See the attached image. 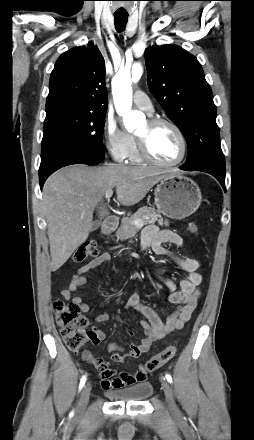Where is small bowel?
<instances>
[{
  "label": "small bowel",
  "instance_id": "small-bowel-1",
  "mask_svg": "<svg viewBox=\"0 0 254 440\" xmlns=\"http://www.w3.org/2000/svg\"><path fill=\"white\" fill-rule=\"evenodd\" d=\"M170 243L178 247L183 246V239L180 235L168 231L160 230L156 226L146 227L141 236V249H151L156 255L171 256L175 263L186 273L179 282V288L174 281L169 278L161 277L169 294L168 300L177 306L176 310L162 321L158 314L149 306L142 304L137 293H132L126 301L125 307L142 314L145 319L140 322L144 332V338L139 343H132L129 351L122 355L124 348L116 343L108 345V351L111 353V361L121 363L125 358H138L147 352L151 344L173 332L181 330L187 321L191 318L198 298L200 296V285L202 283V275L199 272L200 262L195 258H182L172 255L164 244ZM109 260L107 253L100 254L89 261L86 265L80 267L72 277L68 287L61 291L64 299L70 300L76 304L79 310L86 313L90 310V306L82 297L74 295L80 287L86 284L84 274L97 268L102 263ZM109 319L107 313H100L94 317L97 323L106 322ZM93 337L90 341L97 345L106 339V333L98 327L92 329ZM82 357L85 361L93 365L100 373L101 384L105 389L120 388L145 382L146 371L139 367L132 373L118 372L111 368L110 364L102 358H94L88 352H83Z\"/></svg>",
  "mask_w": 254,
  "mask_h": 440
}]
</instances>
